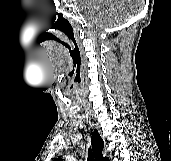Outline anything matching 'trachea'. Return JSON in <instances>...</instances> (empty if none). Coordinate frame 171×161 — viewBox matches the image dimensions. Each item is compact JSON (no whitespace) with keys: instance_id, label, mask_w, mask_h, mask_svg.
I'll use <instances>...</instances> for the list:
<instances>
[{"instance_id":"1","label":"trachea","mask_w":171,"mask_h":161,"mask_svg":"<svg viewBox=\"0 0 171 161\" xmlns=\"http://www.w3.org/2000/svg\"><path fill=\"white\" fill-rule=\"evenodd\" d=\"M88 161H94V158H93V155H92V152H91V147L88 149Z\"/></svg>"}]
</instances>
